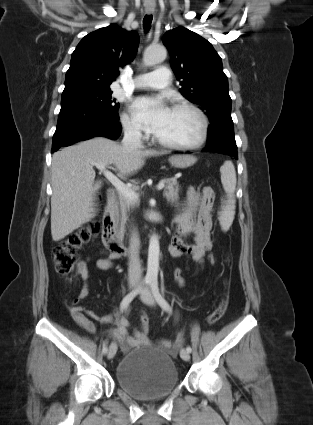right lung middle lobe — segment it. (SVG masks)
<instances>
[{
    "label": "right lung middle lobe",
    "mask_w": 313,
    "mask_h": 425,
    "mask_svg": "<svg viewBox=\"0 0 313 425\" xmlns=\"http://www.w3.org/2000/svg\"><path fill=\"white\" fill-rule=\"evenodd\" d=\"M112 93L109 88L75 90L63 93L61 102L72 100L117 113L119 103H116V100L111 97Z\"/></svg>",
    "instance_id": "1"
}]
</instances>
